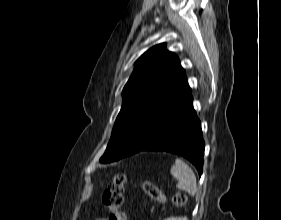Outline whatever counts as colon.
<instances>
[{
    "label": "colon",
    "mask_w": 281,
    "mask_h": 220,
    "mask_svg": "<svg viewBox=\"0 0 281 220\" xmlns=\"http://www.w3.org/2000/svg\"><path fill=\"white\" fill-rule=\"evenodd\" d=\"M125 183L126 175L124 173H117L103 193V203L110 212L108 220H126V214L122 210ZM143 189L152 199L165 202V195L153 182L144 181ZM186 202L187 196L184 194H177L173 197V203L177 206H182Z\"/></svg>",
    "instance_id": "1"
}]
</instances>
